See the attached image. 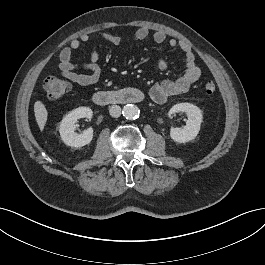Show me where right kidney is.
<instances>
[{"instance_id": "right-kidney-1", "label": "right kidney", "mask_w": 265, "mask_h": 265, "mask_svg": "<svg viewBox=\"0 0 265 265\" xmlns=\"http://www.w3.org/2000/svg\"><path fill=\"white\" fill-rule=\"evenodd\" d=\"M93 115L89 107H78L66 114L60 122L59 132L62 141L70 147L80 148L89 144L93 139V129L88 128L82 134L74 132L75 123L80 118L91 119Z\"/></svg>"}]
</instances>
